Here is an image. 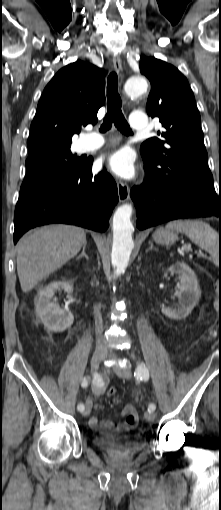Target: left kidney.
Listing matches in <instances>:
<instances>
[{
	"label": "left kidney",
	"mask_w": 221,
	"mask_h": 510,
	"mask_svg": "<svg viewBox=\"0 0 221 510\" xmlns=\"http://www.w3.org/2000/svg\"><path fill=\"white\" fill-rule=\"evenodd\" d=\"M168 270L180 275L179 290L175 292L179 305L177 308L162 305V313L174 320L184 319L191 313L201 296L199 283L194 271L183 262L175 263Z\"/></svg>",
	"instance_id": "1"
}]
</instances>
